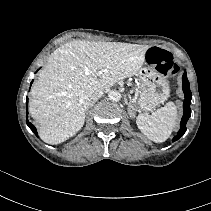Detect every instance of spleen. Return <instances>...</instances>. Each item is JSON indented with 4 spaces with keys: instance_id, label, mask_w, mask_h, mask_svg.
Instances as JSON below:
<instances>
[{
    "instance_id": "obj_1",
    "label": "spleen",
    "mask_w": 211,
    "mask_h": 211,
    "mask_svg": "<svg viewBox=\"0 0 211 211\" xmlns=\"http://www.w3.org/2000/svg\"><path fill=\"white\" fill-rule=\"evenodd\" d=\"M176 120L177 108L173 102H168L151 115L140 114L136 123L140 131L150 140L161 143L170 137Z\"/></svg>"
}]
</instances>
